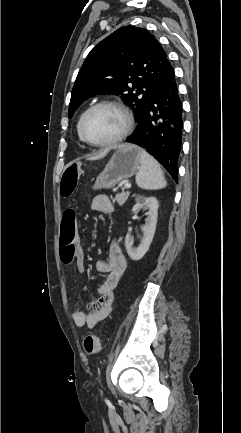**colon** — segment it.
Listing matches in <instances>:
<instances>
[{
	"mask_svg": "<svg viewBox=\"0 0 241 433\" xmlns=\"http://www.w3.org/2000/svg\"><path fill=\"white\" fill-rule=\"evenodd\" d=\"M82 161H69L62 167V181L59 182L58 194L62 195L64 200L69 198V195H74L77 186L79 185L80 177H86V168H82ZM79 220V213L74 207H65L58 218V225L63 226L61 231L60 259L69 265L73 262L75 251L79 252L82 249L79 244V231L76 221ZM84 350L88 355H94L102 347V338L99 334H91L85 337L83 342Z\"/></svg>",
	"mask_w": 241,
	"mask_h": 433,
	"instance_id": "1",
	"label": "colon"
}]
</instances>
